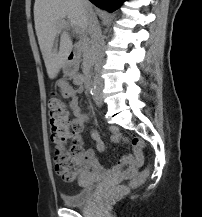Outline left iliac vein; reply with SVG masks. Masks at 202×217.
Returning a JSON list of instances; mask_svg holds the SVG:
<instances>
[{
	"instance_id": "4c4485c4",
	"label": "left iliac vein",
	"mask_w": 202,
	"mask_h": 217,
	"mask_svg": "<svg viewBox=\"0 0 202 217\" xmlns=\"http://www.w3.org/2000/svg\"><path fill=\"white\" fill-rule=\"evenodd\" d=\"M96 103H97V105L102 104V100H101L100 96H98V95H97V98H96Z\"/></svg>"
}]
</instances>
